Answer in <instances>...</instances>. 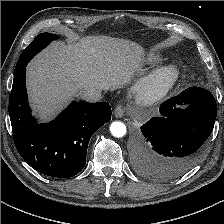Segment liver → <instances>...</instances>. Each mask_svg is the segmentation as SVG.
<instances>
[{"label":"liver","mask_w":224,"mask_h":224,"mask_svg":"<svg viewBox=\"0 0 224 224\" xmlns=\"http://www.w3.org/2000/svg\"><path fill=\"white\" fill-rule=\"evenodd\" d=\"M143 48L108 36L54 42L27 67V86L35 114L48 119L86 88L114 90L139 70Z\"/></svg>","instance_id":"6515ba94"}]
</instances>
